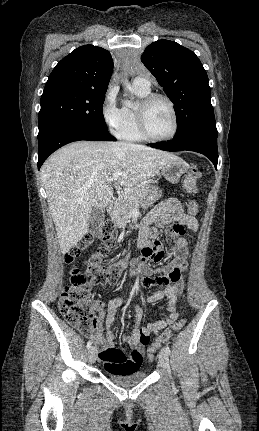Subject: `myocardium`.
I'll return each instance as SVG.
<instances>
[{
	"label": "myocardium",
	"instance_id": "myocardium-1",
	"mask_svg": "<svg viewBox=\"0 0 259 431\" xmlns=\"http://www.w3.org/2000/svg\"><path fill=\"white\" fill-rule=\"evenodd\" d=\"M156 100H163L164 102H166L170 108V111H171L172 117H173L172 130L167 136H164V137L153 136L149 132L148 126H147V110H148L149 106ZM135 115H136V122H137L138 130L141 133V135L148 141H152V142L168 141V140H171L172 138H174V136L176 135V133L178 131L179 122H178V115H177L175 105H174L173 101L168 96H166L164 94L149 93L145 97L141 98V100L139 101V103L135 107Z\"/></svg>",
	"mask_w": 259,
	"mask_h": 431
}]
</instances>
